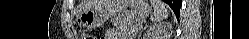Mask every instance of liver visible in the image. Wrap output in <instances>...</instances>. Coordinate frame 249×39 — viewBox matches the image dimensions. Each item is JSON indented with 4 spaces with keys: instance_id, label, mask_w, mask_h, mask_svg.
Wrapping results in <instances>:
<instances>
[{
    "instance_id": "6515ba94",
    "label": "liver",
    "mask_w": 249,
    "mask_h": 39,
    "mask_svg": "<svg viewBox=\"0 0 249 39\" xmlns=\"http://www.w3.org/2000/svg\"><path fill=\"white\" fill-rule=\"evenodd\" d=\"M118 2L119 0H87L83 5L82 10H87L98 4L110 5Z\"/></svg>"
}]
</instances>
